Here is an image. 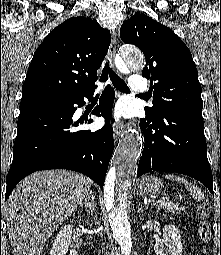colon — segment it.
<instances>
[{"instance_id":"5ec220e1","label":"colon","mask_w":221,"mask_h":255,"mask_svg":"<svg viewBox=\"0 0 221 255\" xmlns=\"http://www.w3.org/2000/svg\"><path fill=\"white\" fill-rule=\"evenodd\" d=\"M211 206L208 201L202 202L197 210L198 222V236L202 243V248L198 255H208L206 245L210 242L212 237V230L210 224Z\"/></svg>"}]
</instances>
